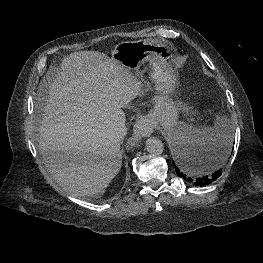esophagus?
Wrapping results in <instances>:
<instances>
[{"instance_id":"obj_1","label":"esophagus","mask_w":263,"mask_h":263,"mask_svg":"<svg viewBox=\"0 0 263 263\" xmlns=\"http://www.w3.org/2000/svg\"><path fill=\"white\" fill-rule=\"evenodd\" d=\"M153 132V125L151 121L145 118L138 119L133 128V137L131 144L135 145L141 137H148Z\"/></svg>"}]
</instances>
